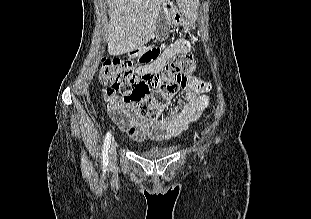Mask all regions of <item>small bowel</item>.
Wrapping results in <instances>:
<instances>
[{
    "mask_svg": "<svg viewBox=\"0 0 311 219\" xmlns=\"http://www.w3.org/2000/svg\"><path fill=\"white\" fill-rule=\"evenodd\" d=\"M190 52V44L186 40L178 39L168 46L154 62L139 67L137 71L141 75L155 76L173 56L189 55ZM211 88L210 81L189 76L188 83L183 88L186 92V104L183 107L174 106L170 114L159 121L148 120L139 113L136 107L124 103L117 106L119 115L113 113L110 105L107 111L117 127L133 139L144 140L148 136L157 141H165L178 136L190 122L200 117L209 105Z\"/></svg>",
    "mask_w": 311,
    "mask_h": 219,
    "instance_id": "small-bowel-1",
    "label": "small bowel"
}]
</instances>
